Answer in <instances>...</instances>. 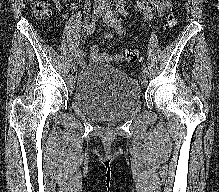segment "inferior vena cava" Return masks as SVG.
I'll return each mask as SVG.
<instances>
[{
	"instance_id": "602c4592",
	"label": "inferior vena cava",
	"mask_w": 219,
	"mask_h": 192,
	"mask_svg": "<svg viewBox=\"0 0 219 192\" xmlns=\"http://www.w3.org/2000/svg\"><path fill=\"white\" fill-rule=\"evenodd\" d=\"M94 2L104 8L108 7V0H94Z\"/></svg>"
}]
</instances>
